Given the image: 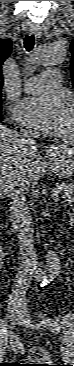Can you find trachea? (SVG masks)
I'll list each match as a JSON object with an SVG mask.
<instances>
[{
	"label": "trachea",
	"instance_id": "3493384b",
	"mask_svg": "<svg viewBox=\"0 0 74 366\" xmlns=\"http://www.w3.org/2000/svg\"><path fill=\"white\" fill-rule=\"evenodd\" d=\"M35 45V37L34 35H25L24 37V47L26 51H31L34 48Z\"/></svg>",
	"mask_w": 74,
	"mask_h": 366
}]
</instances>
